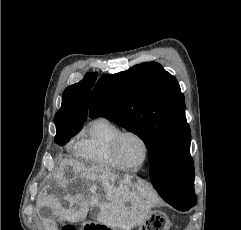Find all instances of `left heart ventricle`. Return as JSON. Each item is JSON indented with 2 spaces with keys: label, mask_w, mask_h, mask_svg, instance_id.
Returning a JSON list of instances; mask_svg holds the SVG:
<instances>
[{
  "label": "left heart ventricle",
  "mask_w": 241,
  "mask_h": 230,
  "mask_svg": "<svg viewBox=\"0 0 241 230\" xmlns=\"http://www.w3.org/2000/svg\"><path fill=\"white\" fill-rule=\"evenodd\" d=\"M144 146L135 136H125L119 147V157L122 163L127 166H138L144 159Z\"/></svg>",
  "instance_id": "left-heart-ventricle-1"
}]
</instances>
